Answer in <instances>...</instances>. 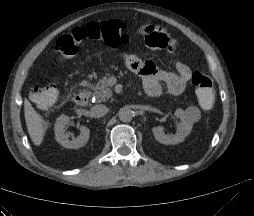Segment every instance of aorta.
Here are the masks:
<instances>
[{
	"label": "aorta",
	"instance_id": "obj_1",
	"mask_svg": "<svg viewBox=\"0 0 254 216\" xmlns=\"http://www.w3.org/2000/svg\"><path fill=\"white\" fill-rule=\"evenodd\" d=\"M118 116L121 121L129 122L134 117V113L129 107H123L119 110Z\"/></svg>",
	"mask_w": 254,
	"mask_h": 216
}]
</instances>
